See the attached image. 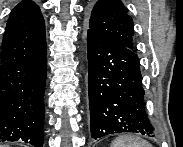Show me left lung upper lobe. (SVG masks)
<instances>
[{
	"label": "left lung upper lobe",
	"instance_id": "5c2ea615",
	"mask_svg": "<svg viewBox=\"0 0 183 147\" xmlns=\"http://www.w3.org/2000/svg\"><path fill=\"white\" fill-rule=\"evenodd\" d=\"M87 32L134 50L133 21L120 0H98L86 20Z\"/></svg>",
	"mask_w": 183,
	"mask_h": 147
}]
</instances>
